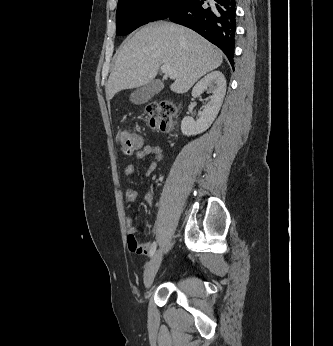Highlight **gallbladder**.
I'll list each match as a JSON object with an SVG mask.
<instances>
[{
    "label": "gallbladder",
    "mask_w": 333,
    "mask_h": 346,
    "mask_svg": "<svg viewBox=\"0 0 333 346\" xmlns=\"http://www.w3.org/2000/svg\"><path fill=\"white\" fill-rule=\"evenodd\" d=\"M163 88L164 84L162 81L153 80L148 84L135 89L130 95V101L134 104L146 103Z\"/></svg>",
    "instance_id": "gallbladder-1"
}]
</instances>
